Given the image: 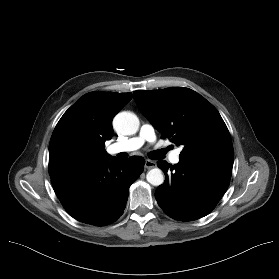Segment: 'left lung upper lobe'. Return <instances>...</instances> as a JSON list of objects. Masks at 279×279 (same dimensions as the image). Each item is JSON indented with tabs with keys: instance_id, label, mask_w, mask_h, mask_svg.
I'll return each instance as SVG.
<instances>
[{
	"instance_id": "obj_1",
	"label": "left lung upper lobe",
	"mask_w": 279,
	"mask_h": 279,
	"mask_svg": "<svg viewBox=\"0 0 279 279\" xmlns=\"http://www.w3.org/2000/svg\"><path fill=\"white\" fill-rule=\"evenodd\" d=\"M141 112L183 150L179 157L234 160L230 133L217 109L197 92L180 87L134 91Z\"/></svg>"
}]
</instances>
